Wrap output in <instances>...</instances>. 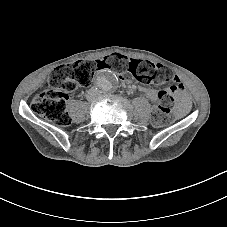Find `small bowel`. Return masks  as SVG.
Here are the masks:
<instances>
[{
  "label": "small bowel",
  "instance_id": "obj_1",
  "mask_svg": "<svg viewBox=\"0 0 227 227\" xmlns=\"http://www.w3.org/2000/svg\"><path fill=\"white\" fill-rule=\"evenodd\" d=\"M141 91L145 93L152 101H158V92L154 89L142 87ZM178 110L183 113L188 110V100L187 97L182 94L179 98V108Z\"/></svg>",
  "mask_w": 227,
  "mask_h": 227
}]
</instances>
